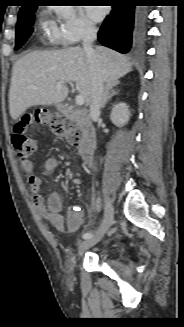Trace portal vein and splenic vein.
Returning a JSON list of instances; mask_svg holds the SVG:
<instances>
[{"label":"portal vein and splenic vein","mask_w":184,"mask_h":327,"mask_svg":"<svg viewBox=\"0 0 184 327\" xmlns=\"http://www.w3.org/2000/svg\"><path fill=\"white\" fill-rule=\"evenodd\" d=\"M62 86H64V84H62V83H58V84L56 85L57 88H61ZM75 103H76V105H78V106H82V105L84 104V98H83V96H82V95H77V96L75 97Z\"/></svg>","instance_id":"portal-vein-and-splenic-vein-1"}]
</instances>
